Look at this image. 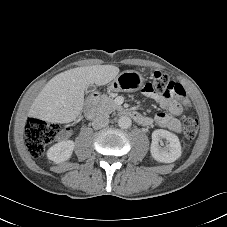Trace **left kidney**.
<instances>
[{
  "instance_id": "obj_1",
  "label": "left kidney",
  "mask_w": 227,
  "mask_h": 227,
  "mask_svg": "<svg viewBox=\"0 0 227 227\" xmlns=\"http://www.w3.org/2000/svg\"><path fill=\"white\" fill-rule=\"evenodd\" d=\"M161 139H166L164 147L159 145ZM150 152L152 157L162 163H172L182 154L181 144L177 135L163 129H157L152 133Z\"/></svg>"
}]
</instances>
